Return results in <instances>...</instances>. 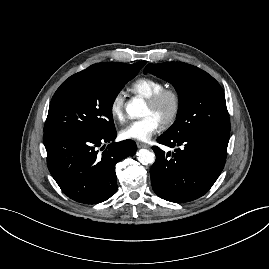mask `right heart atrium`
<instances>
[{
    "mask_svg": "<svg viewBox=\"0 0 269 269\" xmlns=\"http://www.w3.org/2000/svg\"><path fill=\"white\" fill-rule=\"evenodd\" d=\"M124 110H125V94L122 90H119L113 95L109 103V111L111 117L115 121L123 122L125 118Z\"/></svg>",
    "mask_w": 269,
    "mask_h": 269,
    "instance_id": "d8ad5b80",
    "label": "right heart atrium"
}]
</instances>
